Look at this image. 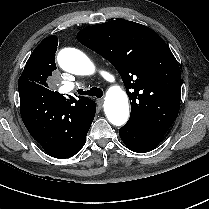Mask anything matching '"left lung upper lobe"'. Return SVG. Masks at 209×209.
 Returning a JSON list of instances; mask_svg holds the SVG:
<instances>
[{
  "label": "left lung upper lobe",
  "mask_w": 209,
  "mask_h": 209,
  "mask_svg": "<svg viewBox=\"0 0 209 209\" xmlns=\"http://www.w3.org/2000/svg\"><path fill=\"white\" fill-rule=\"evenodd\" d=\"M77 40L119 72L131 103L128 122L164 136L178 116L181 72L165 41L152 29L124 19L82 29Z\"/></svg>",
  "instance_id": "obj_1"
}]
</instances>
